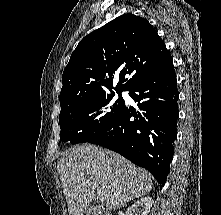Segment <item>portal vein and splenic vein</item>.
<instances>
[{"label":"portal vein and splenic vein","mask_w":221,"mask_h":215,"mask_svg":"<svg viewBox=\"0 0 221 215\" xmlns=\"http://www.w3.org/2000/svg\"><path fill=\"white\" fill-rule=\"evenodd\" d=\"M97 200H100V201H103L104 200V197L100 194L97 195Z\"/></svg>","instance_id":"obj_1"}]
</instances>
